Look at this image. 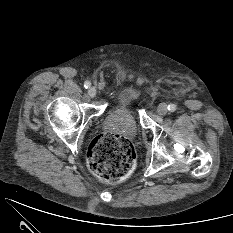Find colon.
I'll return each mask as SVG.
<instances>
[{"instance_id": "obj_1", "label": "colon", "mask_w": 233, "mask_h": 233, "mask_svg": "<svg viewBox=\"0 0 233 233\" xmlns=\"http://www.w3.org/2000/svg\"><path fill=\"white\" fill-rule=\"evenodd\" d=\"M135 159V150L130 140L110 132L95 137L87 152L91 172L108 183L125 179L133 170Z\"/></svg>"}]
</instances>
